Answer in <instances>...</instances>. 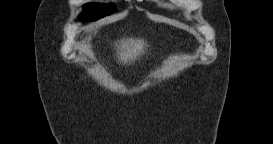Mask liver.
Segmentation results:
<instances>
[{
	"instance_id": "obj_1",
	"label": "liver",
	"mask_w": 273,
	"mask_h": 144,
	"mask_svg": "<svg viewBox=\"0 0 273 144\" xmlns=\"http://www.w3.org/2000/svg\"><path fill=\"white\" fill-rule=\"evenodd\" d=\"M118 60L124 64L132 63L145 53L146 42L143 39L127 38L115 43Z\"/></svg>"
}]
</instances>
